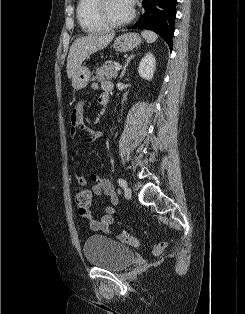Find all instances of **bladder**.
I'll list each match as a JSON object with an SVG mask.
<instances>
[{
  "label": "bladder",
  "mask_w": 245,
  "mask_h": 314,
  "mask_svg": "<svg viewBox=\"0 0 245 314\" xmlns=\"http://www.w3.org/2000/svg\"><path fill=\"white\" fill-rule=\"evenodd\" d=\"M86 261L98 268L122 271L136 258L135 252L116 240L101 236H89L83 246Z\"/></svg>",
  "instance_id": "1"
}]
</instances>
